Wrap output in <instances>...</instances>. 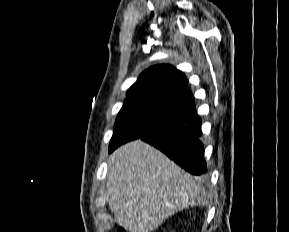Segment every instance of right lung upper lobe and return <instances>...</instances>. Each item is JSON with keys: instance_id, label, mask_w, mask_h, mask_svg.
<instances>
[{"instance_id": "obj_1", "label": "right lung upper lobe", "mask_w": 289, "mask_h": 232, "mask_svg": "<svg viewBox=\"0 0 289 232\" xmlns=\"http://www.w3.org/2000/svg\"><path fill=\"white\" fill-rule=\"evenodd\" d=\"M183 73L170 65H156L145 70L127 91L126 100L144 101L183 113L195 110Z\"/></svg>"}]
</instances>
